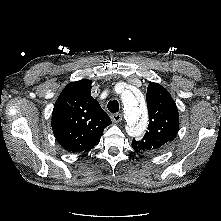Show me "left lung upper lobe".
<instances>
[{
	"mask_svg": "<svg viewBox=\"0 0 221 221\" xmlns=\"http://www.w3.org/2000/svg\"><path fill=\"white\" fill-rule=\"evenodd\" d=\"M146 99L148 131L140 141L133 139L132 148L136 152L158 154L176 137L179 126L178 109L171 95L158 83L149 84Z\"/></svg>",
	"mask_w": 221,
	"mask_h": 221,
	"instance_id": "left-lung-upper-lobe-1",
	"label": "left lung upper lobe"
}]
</instances>
